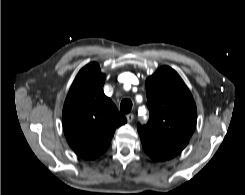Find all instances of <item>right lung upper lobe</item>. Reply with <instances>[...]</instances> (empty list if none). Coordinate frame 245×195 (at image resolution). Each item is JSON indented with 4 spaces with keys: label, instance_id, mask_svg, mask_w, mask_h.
<instances>
[{
    "label": "right lung upper lobe",
    "instance_id": "1",
    "mask_svg": "<svg viewBox=\"0 0 245 195\" xmlns=\"http://www.w3.org/2000/svg\"><path fill=\"white\" fill-rule=\"evenodd\" d=\"M105 74L96 62L77 74L63 108V129L70 147L93 160L109 147L115 129L127 122L103 92Z\"/></svg>",
    "mask_w": 245,
    "mask_h": 195
}]
</instances>
